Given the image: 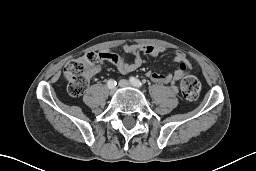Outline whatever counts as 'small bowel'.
Wrapping results in <instances>:
<instances>
[{
  "label": "small bowel",
  "instance_id": "c3829d8e",
  "mask_svg": "<svg viewBox=\"0 0 256 171\" xmlns=\"http://www.w3.org/2000/svg\"><path fill=\"white\" fill-rule=\"evenodd\" d=\"M122 50L124 54L135 55V60L132 63H128L124 55L113 54L109 50H102L99 55L102 61L113 63L119 72L127 74L139 68L146 59L155 58L158 54L164 52L165 48L144 44H125ZM140 53H143L146 59H142ZM172 60L179 64V68L174 72L163 74L149 71L147 76L156 83L168 85L176 93L178 92L177 82L190 70L189 65L191 63L186 55L179 50L174 52Z\"/></svg>",
  "mask_w": 256,
  "mask_h": 171
}]
</instances>
